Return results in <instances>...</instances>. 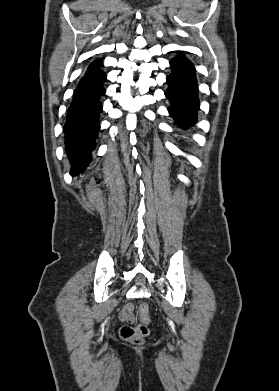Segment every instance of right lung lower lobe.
I'll return each instance as SVG.
<instances>
[{
    "label": "right lung lower lobe",
    "instance_id": "obj_1",
    "mask_svg": "<svg viewBox=\"0 0 279 391\" xmlns=\"http://www.w3.org/2000/svg\"><path fill=\"white\" fill-rule=\"evenodd\" d=\"M105 79L106 74L102 71L85 75L74 91L64 125L65 146L73 165L72 175L83 171L91 160L94 140L100 129V97L105 94L102 86Z\"/></svg>",
    "mask_w": 279,
    "mask_h": 391
}]
</instances>
